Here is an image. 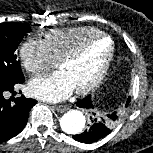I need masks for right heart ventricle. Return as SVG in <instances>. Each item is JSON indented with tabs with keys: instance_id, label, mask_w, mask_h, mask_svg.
Here are the masks:
<instances>
[{
	"instance_id": "1",
	"label": "right heart ventricle",
	"mask_w": 153,
	"mask_h": 153,
	"mask_svg": "<svg viewBox=\"0 0 153 153\" xmlns=\"http://www.w3.org/2000/svg\"><path fill=\"white\" fill-rule=\"evenodd\" d=\"M100 33L99 29L88 26L53 29L44 35L43 41L52 58L59 62L86 39Z\"/></svg>"
}]
</instances>
